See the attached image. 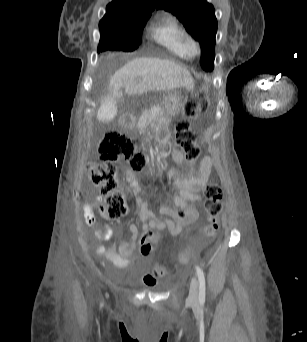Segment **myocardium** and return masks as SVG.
Wrapping results in <instances>:
<instances>
[{
	"label": "myocardium",
	"instance_id": "f54148a6",
	"mask_svg": "<svg viewBox=\"0 0 307 342\" xmlns=\"http://www.w3.org/2000/svg\"><path fill=\"white\" fill-rule=\"evenodd\" d=\"M192 53H198L201 49L200 43L196 39H192L190 43Z\"/></svg>",
	"mask_w": 307,
	"mask_h": 342
}]
</instances>
